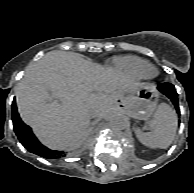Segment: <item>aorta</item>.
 Listing matches in <instances>:
<instances>
[{
	"mask_svg": "<svg viewBox=\"0 0 194 193\" xmlns=\"http://www.w3.org/2000/svg\"><path fill=\"white\" fill-rule=\"evenodd\" d=\"M109 126L113 131H122L127 128L128 120L121 114H113L109 118Z\"/></svg>",
	"mask_w": 194,
	"mask_h": 193,
	"instance_id": "aorta-1",
	"label": "aorta"
}]
</instances>
